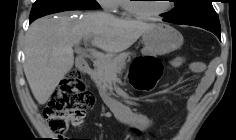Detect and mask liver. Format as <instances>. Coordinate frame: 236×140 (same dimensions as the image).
<instances>
[{
	"label": "liver",
	"instance_id": "1",
	"mask_svg": "<svg viewBox=\"0 0 236 140\" xmlns=\"http://www.w3.org/2000/svg\"><path fill=\"white\" fill-rule=\"evenodd\" d=\"M76 13L43 17L34 21L25 37L24 73L39 104H45L74 64L73 45L92 37V45L108 57L131 47L156 24L125 20L104 12Z\"/></svg>",
	"mask_w": 236,
	"mask_h": 140
}]
</instances>
